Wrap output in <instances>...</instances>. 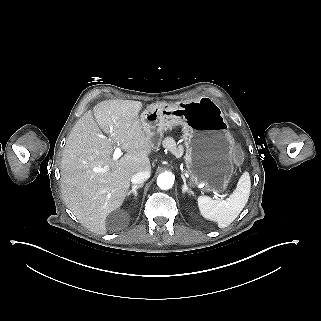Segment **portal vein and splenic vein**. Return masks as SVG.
<instances>
[{"label": "portal vein and splenic vein", "mask_w": 321, "mask_h": 321, "mask_svg": "<svg viewBox=\"0 0 321 321\" xmlns=\"http://www.w3.org/2000/svg\"><path fill=\"white\" fill-rule=\"evenodd\" d=\"M110 135L112 136L113 135V125L110 126ZM123 155V152L120 148V146H117L114 150V158H120L121 156ZM97 169L94 168V171H96ZM210 197H211V200L213 202H216L218 200V197H217V194L215 192H212L210 194Z\"/></svg>", "instance_id": "1"}]
</instances>
